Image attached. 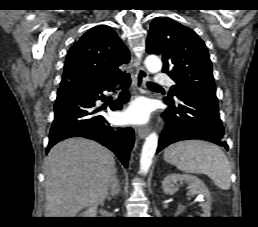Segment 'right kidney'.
I'll return each mask as SVG.
<instances>
[{
	"label": "right kidney",
	"mask_w": 258,
	"mask_h": 227,
	"mask_svg": "<svg viewBox=\"0 0 258 227\" xmlns=\"http://www.w3.org/2000/svg\"><path fill=\"white\" fill-rule=\"evenodd\" d=\"M97 207L96 205L90 206L85 212H83L82 217H96L97 214Z\"/></svg>",
	"instance_id": "ca27d5eb"
}]
</instances>
